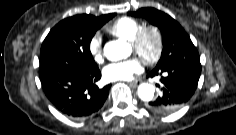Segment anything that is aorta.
Returning <instances> with one entry per match:
<instances>
[{"label": "aorta", "instance_id": "1", "mask_svg": "<svg viewBox=\"0 0 236 135\" xmlns=\"http://www.w3.org/2000/svg\"><path fill=\"white\" fill-rule=\"evenodd\" d=\"M131 49L124 40L110 41L104 46V54L110 61H118L130 55ZM155 87L149 83H142L138 87V96L142 101L153 99Z\"/></svg>", "mask_w": 236, "mask_h": 135}]
</instances>
